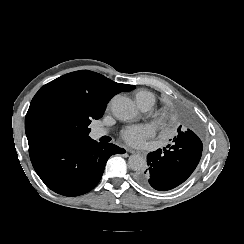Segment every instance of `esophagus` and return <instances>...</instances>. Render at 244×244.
Here are the masks:
<instances>
[{"label":"esophagus","mask_w":244,"mask_h":244,"mask_svg":"<svg viewBox=\"0 0 244 244\" xmlns=\"http://www.w3.org/2000/svg\"><path fill=\"white\" fill-rule=\"evenodd\" d=\"M127 151L129 153H132V154H140L141 156L143 157H146L147 153L143 150H133V149H127Z\"/></svg>","instance_id":"esophagus-1"}]
</instances>
